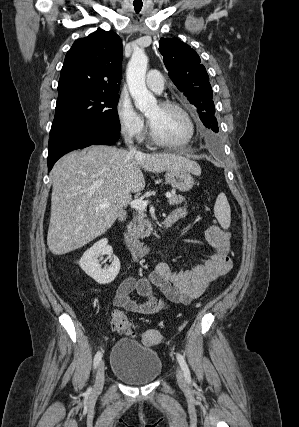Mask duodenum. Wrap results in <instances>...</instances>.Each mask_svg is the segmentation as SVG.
<instances>
[{"label": "duodenum", "mask_w": 299, "mask_h": 427, "mask_svg": "<svg viewBox=\"0 0 299 427\" xmlns=\"http://www.w3.org/2000/svg\"><path fill=\"white\" fill-rule=\"evenodd\" d=\"M125 213H121L119 216V219L123 221L125 219ZM176 222V219L174 217L168 216L163 222L162 227L169 228ZM125 246L132 256L133 259H140L144 257L149 251V247L141 242H137L134 240L126 239L125 240Z\"/></svg>", "instance_id": "410a0bca"}]
</instances>
